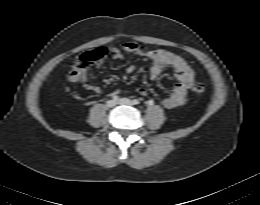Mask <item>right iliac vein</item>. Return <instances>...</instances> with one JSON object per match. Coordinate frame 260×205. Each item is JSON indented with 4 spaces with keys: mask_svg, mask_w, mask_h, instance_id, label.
<instances>
[{
    "mask_svg": "<svg viewBox=\"0 0 260 205\" xmlns=\"http://www.w3.org/2000/svg\"><path fill=\"white\" fill-rule=\"evenodd\" d=\"M117 104V102L116 101H114V100H109V101H107V107H109V108H112V107H114L115 105Z\"/></svg>",
    "mask_w": 260,
    "mask_h": 205,
    "instance_id": "63e3f726",
    "label": "right iliac vein"
}]
</instances>
